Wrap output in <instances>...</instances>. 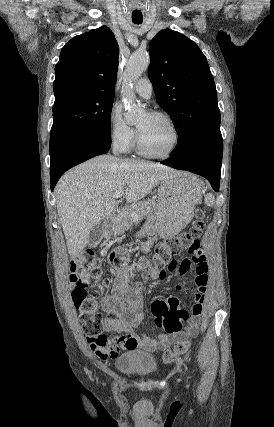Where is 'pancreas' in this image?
I'll return each instance as SVG.
<instances>
[{
    "label": "pancreas",
    "instance_id": "cf45deb5",
    "mask_svg": "<svg viewBox=\"0 0 274 427\" xmlns=\"http://www.w3.org/2000/svg\"><path fill=\"white\" fill-rule=\"evenodd\" d=\"M154 200H143V202H134L131 206H126L123 208L121 212L114 219V233H124L128 227L131 225L132 212H136L138 214L137 221L146 217L151 212V204H153Z\"/></svg>",
    "mask_w": 274,
    "mask_h": 427
}]
</instances>
